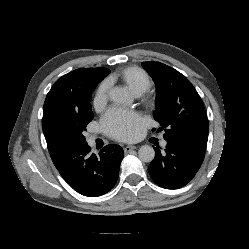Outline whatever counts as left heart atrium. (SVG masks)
I'll return each instance as SVG.
<instances>
[{"mask_svg": "<svg viewBox=\"0 0 249 249\" xmlns=\"http://www.w3.org/2000/svg\"><path fill=\"white\" fill-rule=\"evenodd\" d=\"M102 126L109 136L121 141L137 139L143 129L138 116L117 108L110 109L103 116Z\"/></svg>", "mask_w": 249, "mask_h": 249, "instance_id": "1", "label": "left heart atrium"}]
</instances>
